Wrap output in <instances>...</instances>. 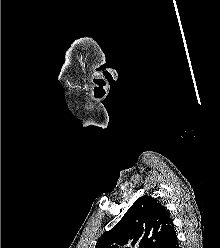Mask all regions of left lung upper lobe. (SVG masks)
<instances>
[{"label":"left lung upper lobe","instance_id":"left-lung-upper-lobe-1","mask_svg":"<svg viewBox=\"0 0 220 248\" xmlns=\"http://www.w3.org/2000/svg\"><path fill=\"white\" fill-rule=\"evenodd\" d=\"M174 229L168 210L150 196L138 198L95 248H162Z\"/></svg>","mask_w":220,"mask_h":248}]
</instances>
